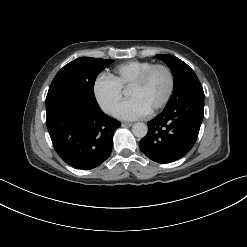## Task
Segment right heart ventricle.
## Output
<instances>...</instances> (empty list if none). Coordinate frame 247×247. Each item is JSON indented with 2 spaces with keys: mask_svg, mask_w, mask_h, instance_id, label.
Listing matches in <instances>:
<instances>
[{
  "mask_svg": "<svg viewBox=\"0 0 247 247\" xmlns=\"http://www.w3.org/2000/svg\"><path fill=\"white\" fill-rule=\"evenodd\" d=\"M150 61L131 60L117 65L110 73V77L122 88L130 84L147 68L152 66Z\"/></svg>",
  "mask_w": 247,
  "mask_h": 247,
  "instance_id": "right-heart-ventricle-1",
  "label": "right heart ventricle"
}]
</instances>
